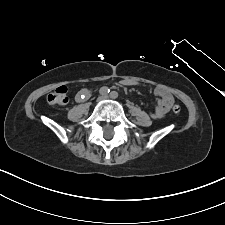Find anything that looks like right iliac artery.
<instances>
[{
	"instance_id": "1",
	"label": "right iliac artery",
	"mask_w": 225,
	"mask_h": 225,
	"mask_svg": "<svg viewBox=\"0 0 225 225\" xmlns=\"http://www.w3.org/2000/svg\"><path fill=\"white\" fill-rule=\"evenodd\" d=\"M110 92V89L108 87H102L100 90H99V93L101 95H107L108 93Z\"/></svg>"
}]
</instances>
